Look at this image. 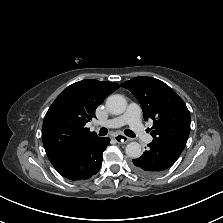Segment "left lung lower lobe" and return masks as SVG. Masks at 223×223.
I'll list each match as a JSON object with an SVG mask.
<instances>
[{
	"label": "left lung lower lobe",
	"mask_w": 223,
	"mask_h": 223,
	"mask_svg": "<svg viewBox=\"0 0 223 223\" xmlns=\"http://www.w3.org/2000/svg\"><path fill=\"white\" fill-rule=\"evenodd\" d=\"M183 149L165 142L152 141L139 158L133 159L132 168L143 176H153L172 166Z\"/></svg>",
	"instance_id": "1"
}]
</instances>
